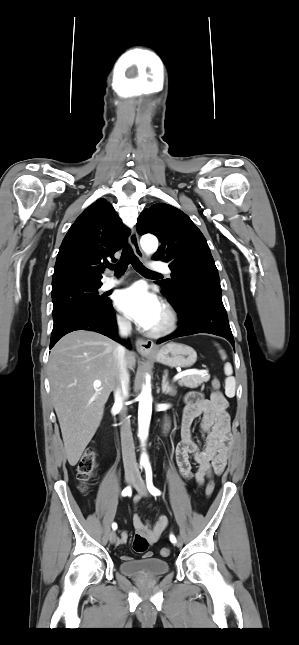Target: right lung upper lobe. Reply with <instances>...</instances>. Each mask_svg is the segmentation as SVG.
I'll return each instance as SVG.
<instances>
[{"mask_svg":"<svg viewBox=\"0 0 299 645\" xmlns=\"http://www.w3.org/2000/svg\"><path fill=\"white\" fill-rule=\"evenodd\" d=\"M129 235V229L105 199L90 205L63 239L54 267L52 292L74 284H102L103 264L122 248Z\"/></svg>","mask_w":299,"mask_h":645,"instance_id":"right-lung-upper-lobe-1","label":"right lung upper lobe"}]
</instances>
